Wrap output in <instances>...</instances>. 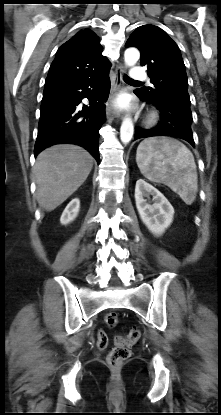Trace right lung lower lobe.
Segmentation results:
<instances>
[{"label":"right lung lower lobe","instance_id":"right-lung-lower-lobe-1","mask_svg":"<svg viewBox=\"0 0 221 415\" xmlns=\"http://www.w3.org/2000/svg\"><path fill=\"white\" fill-rule=\"evenodd\" d=\"M110 92L109 71L97 77L44 87L34 154L59 143L84 147L99 162V130ZM87 98L89 104H83Z\"/></svg>","mask_w":221,"mask_h":415}]
</instances>
